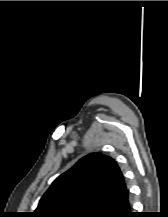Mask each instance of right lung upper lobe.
I'll use <instances>...</instances> for the list:
<instances>
[{"instance_id": "cb5924a9", "label": "right lung upper lobe", "mask_w": 168, "mask_h": 217, "mask_svg": "<svg viewBox=\"0 0 168 217\" xmlns=\"http://www.w3.org/2000/svg\"><path fill=\"white\" fill-rule=\"evenodd\" d=\"M128 200L117 163L92 153L55 179L32 217H104Z\"/></svg>"}]
</instances>
